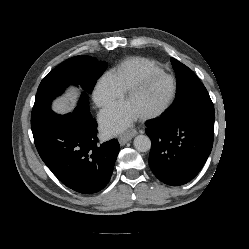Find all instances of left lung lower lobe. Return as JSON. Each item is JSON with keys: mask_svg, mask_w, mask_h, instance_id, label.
Masks as SVG:
<instances>
[{"mask_svg": "<svg viewBox=\"0 0 249 249\" xmlns=\"http://www.w3.org/2000/svg\"><path fill=\"white\" fill-rule=\"evenodd\" d=\"M215 114L169 122L161 117L146 123L152 142L149 165L162 182L177 186L192 180L205 164L213 146Z\"/></svg>", "mask_w": 249, "mask_h": 249, "instance_id": "left-lung-lower-lobe-1", "label": "left lung lower lobe"}]
</instances>
